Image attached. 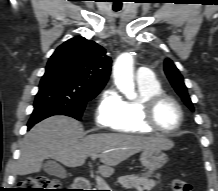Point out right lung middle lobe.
<instances>
[{
    "label": "right lung middle lobe",
    "mask_w": 218,
    "mask_h": 191,
    "mask_svg": "<svg viewBox=\"0 0 218 191\" xmlns=\"http://www.w3.org/2000/svg\"><path fill=\"white\" fill-rule=\"evenodd\" d=\"M101 89L89 86L61 69L46 67L33 113L47 109L79 120L86 103L95 98Z\"/></svg>",
    "instance_id": "1"
}]
</instances>
